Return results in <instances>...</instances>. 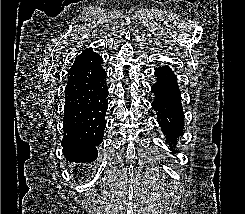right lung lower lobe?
<instances>
[{
    "mask_svg": "<svg viewBox=\"0 0 245 214\" xmlns=\"http://www.w3.org/2000/svg\"><path fill=\"white\" fill-rule=\"evenodd\" d=\"M83 53V52H82ZM80 55L68 71L65 90L63 153L70 162H93L106 127L108 87L106 72L83 83L79 75Z\"/></svg>",
    "mask_w": 245,
    "mask_h": 214,
    "instance_id": "right-lung-lower-lobe-1",
    "label": "right lung lower lobe"
}]
</instances>
